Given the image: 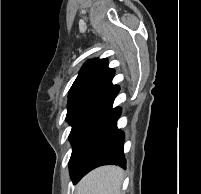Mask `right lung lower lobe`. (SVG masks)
I'll return each instance as SVG.
<instances>
[{
	"label": "right lung lower lobe",
	"mask_w": 201,
	"mask_h": 194,
	"mask_svg": "<svg viewBox=\"0 0 201 194\" xmlns=\"http://www.w3.org/2000/svg\"><path fill=\"white\" fill-rule=\"evenodd\" d=\"M119 90V86H115L89 102L72 123L69 138L73 151L69 168L73 183L100 165L126 166L123 154L124 133L116 127L121 108H112Z\"/></svg>",
	"instance_id": "98d812e1"
}]
</instances>
